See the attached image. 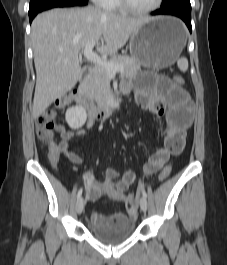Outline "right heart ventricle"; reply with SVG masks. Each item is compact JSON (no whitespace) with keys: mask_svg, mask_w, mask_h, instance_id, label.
<instances>
[{"mask_svg":"<svg viewBox=\"0 0 227 265\" xmlns=\"http://www.w3.org/2000/svg\"><path fill=\"white\" fill-rule=\"evenodd\" d=\"M106 8L109 10H123L119 0H109Z\"/></svg>","mask_w":227,"mask_h":265,"instance_id":"right-heart-ventricle-1","label":"right heart ventricle"}]
</instances>
